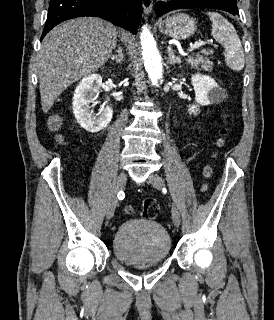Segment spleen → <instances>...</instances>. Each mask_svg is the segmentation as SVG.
Masks as SVG:
<instances>
[{"label":"spleen","mask_w":274,"mask_h":320,"mask_svg":"<svg viewBox=\"0 0 274 320\" xmlns=\"http://www.w3.org/2000/svg\"><path fill=\"white\" fill-rule=\"evenodd\" d=\"M207 16L212 22L214 40L225 48L224 56L227 66L235 72H240L245 66V56L234 26L216 12H208Z\"/></svg>","instance_id":"obj_1"}]
</instances>
